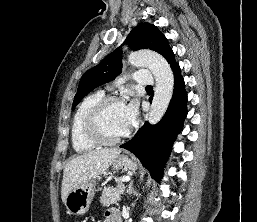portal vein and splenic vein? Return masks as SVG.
<instances>
[{
    "mask_svg": "<svg viewBox=\"0 0 257 222\" xmlns=\"http://www.w3.org/2000/svg\"><path fill=\"white\" fill-rule=\"evenodd\" d=\"M130 180V177H124L123 179H122V181H129Z\"/></svg>",
    "mask_w": 257,
    "mask_h": 222,
    "instance_id": "obj_1",
    "label": "portal vein and splenic vein"
}]
</instances>
